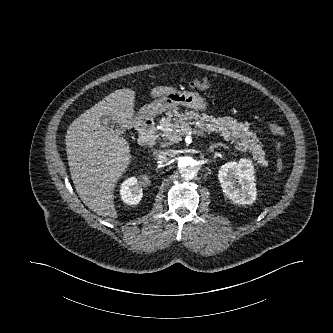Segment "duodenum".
I'll return each mask as SVG.
<instances>
[{"label":"duodenum","mask_w":333,"mask_h":333,"mask_svg":"<svg viewBox=\"0 0 333 333\" xmlns=\"http://www.w3.org/2000/svg\"><path fill=\"white\" fill-rule=\"evenodd\" d=\"M140 132L141 143L148 147H153L156 145V133L153 120L145 116L143 117L138 124Z\"/></svg>","instance_id":"410a0bca"}]
</instances>
